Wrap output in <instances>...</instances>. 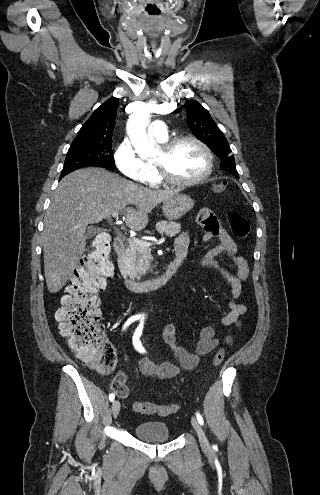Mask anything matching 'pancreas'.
<instances>
[{"label": "pancreas", "instance_id": "obj_1", "mask_svg": "<svg viewBox=\"0 0 320 495\" xmlns=\"http://www.w3.org/2000/svg\"><path fill=\"white\" fill-rule=\"evenodd\" d=\"M157 231L166 236L173 237L180 233L181 224L173 221H161L156 225ZM128 247L121 259L119 267L131 279H140L149 266V248L136 244L132 239L128 240Z\"/></svg>", "mask_w": 320, "mask_h": 495}]
</instances>
